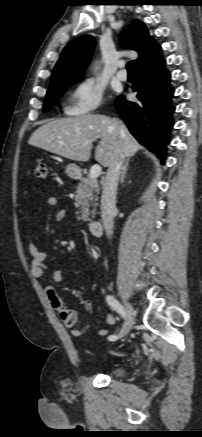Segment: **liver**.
Returning a JSON list of instances; mask_svg holds the SVG:
<instances>
[{
  "mask_svg": "<svg viewBox=\"0 0 202 437\" xmlns=\"http://www.w3.org/2000/svg\"><path fill=\"white\" fill-rule=\"evenodd\" d=\"M100 138L95 160L109 167L117 150L124 157L133 156L140 144L122 121L99 114L55 119L39 127L28 143L70 160L86 162L90 159L93 141Z\"/></svg>",
  "mask_w": 202,
  "mask_h": 437,
  "instance_id": "1",
  "label": "liver"
}]
</instances>
